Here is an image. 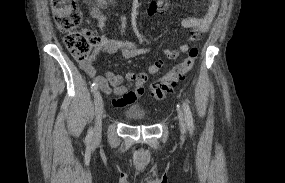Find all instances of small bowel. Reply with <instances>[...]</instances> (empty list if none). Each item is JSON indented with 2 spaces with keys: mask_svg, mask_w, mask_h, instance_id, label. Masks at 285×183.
<instances>
[{
  "mask_svg": "<svg viewBox=\"0 0 285 183\" xmlns=\"http://www.w3.org/2000/svg\"><path fill=\"white\" fill-rule=\"evenodd\" d=\"M88 4L91 16L97 21V25L101 31H105L108 26V17L105 10L114 5L115 0H94V3H89V0H83ZM204 4V12L201 16H188L182 20V26L189 29L190 33L185 41L177 48L164 49V55L171 60L176 59L180 54L186 53L191 45L197 43L200 35L206 32L212 21L214 20L219 0H198ZM168 0H152L147 9L149 15L164 14L168 9ZM126 27V19L120 17L119 28L124 32ZM149 47L136 42L125 39H113L103 34L100 38V43L95 47L92 55L88 60L80 63L82 70L91 77L99 86L100 90L107 95H113L112 104L116 107H122L134 103L145 93V83L149 75L158 73L163 65L162 59H156L146 72H126L119 74L112 71H105L99 74L94 67V61L101 53L114 54L120 52L125 59H133L139 55L148 53Z\"/></svg>",
  "mask_w": 285,
  "mask_h": 183,
  "instance_id": "c3829d8e",
  "label": "small bowel"
}]
</instances>
